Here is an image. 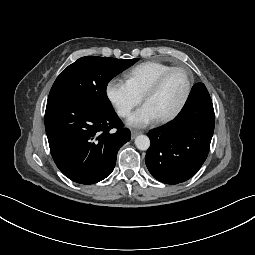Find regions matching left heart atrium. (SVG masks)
Returning <instances> with one entry per match:
<instances>
[{"mask_svg": "<svg viewBox=\"0 0 255 255\" xmlns=\"http://www.w3.org/2000/svg\"><path fill=\"white\" fill-rule=\"evenodd\" d=\"M158 118L157 113L151 105L145 103L130 116L128 123L132 126L142 127L157 120Z\"/></svg>", "mask_w": 255, "mask_h": 255, "instance_id": "obj_1", "label": "left heart atrium"}]
</instances>
